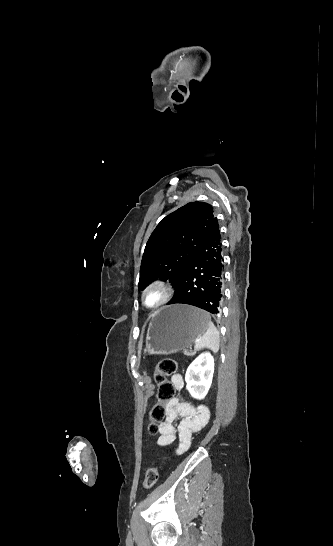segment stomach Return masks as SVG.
Masks as SVG:
<instances>
[{"label": "stomach", "mask_w": 333, "mask_h": 546, "mask_svg": "<svg viewBox=\"0 0 333 546\" xmlns=\"http://www.w3.org/2000/svg\"><path fill=\"white\" fill-rule=\"evenodd\" d=\"M208 314L196 307L176 304L156 311L149 323L144 353L170 355L187 349L207 329Z\"/></svg>", "instance_id": "stomach-1"}]
</instances>
